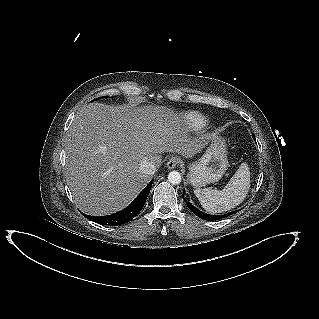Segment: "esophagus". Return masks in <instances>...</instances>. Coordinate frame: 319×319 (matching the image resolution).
I'll list each match as a JSON object with an SVG mask.
<instances>
[{"instance_id": "obj_1", "label": "esophagus", "mask_w": 319, "mask_h": 319, "mask_svg": "<svg viewBox=\"0 0 319 319\" xmlns=\"http://www.w3.org/2000/svg\"><path fill=\"white\" fill-rule=\"evenodd\" d=\"M180 163V158L178 157H171L167 162L168 169H174Z\"/></svg>"}]
</instances>
